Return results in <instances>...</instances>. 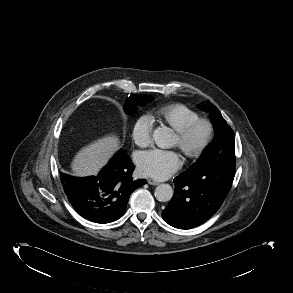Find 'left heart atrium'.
Returning a JSON list of instances; mask_svg holds the SVG:
<instances>
[{"mask_svg":"<svg viewBox=\"0 0 293 293\" xmlns=\"http://www.w3.org/2000/svg\"><path fill=\"white\" fill-rule=\"evenodd\" d=\"M182 165L176 151L152 149L141 152L137 158L139 172L157 180L170 177Z\"/></svg>","mask_w":293,"mask_h":293,"instance_id":"obj_1","label":"left heart atrium"}]
</instances>
